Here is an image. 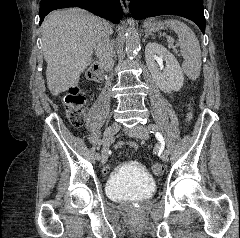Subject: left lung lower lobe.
Returning <instances> with one entry per match:
<instances>
[{
  "mask_svg": "<svg viewBox=\"0 0 240 238\" xmlns=\"http://www.w3.org/2000/svg\"><path fill=\"white\" fill-rule=\"evenodd\" d=\"M137 20L159 15H177L195 22L205 32L203 0H128Z\"/></svg>",
  "mask_w": 240,
  "mask_h": 238,
  "instance_id": "0a47b994",
  "label": "left lung lower lobe"
}]
</instances>
